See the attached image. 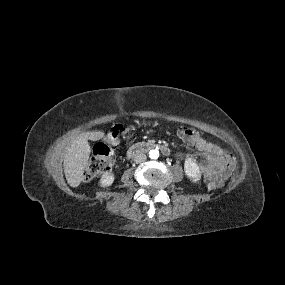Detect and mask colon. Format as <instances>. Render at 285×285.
Segmentation results:
<instances>
[{
  "label": "colon",
  "mask_w": 285,
  "mask_h": 285,
  "mask_svg": "<svg viewBox=\"0 0 285 285\" xmlns=\"http://www.w3.org/2000/svg\"><path fill=\"white\" fill-rule=\"evenodd\" d=\"M122 126L116 124L112 126L105 139L94 146L92 157L83 172V179L90 180L95 177L107 174L112 168V151L118 146ZM179 137L186 144H195L199 138L198 133L192 128H181ZM210 189H218L221 183L211 180L208 183Z\"/></svg>",
  "instance_id": "5ec220e1"
}]
</instances>
